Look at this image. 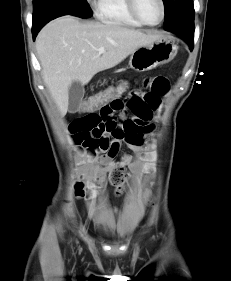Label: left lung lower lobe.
<instances>
[{
	"mask_svg": "<svg viewBox=\"0 0 231 281\" xmlns=\"http://www.w3.org/2000/svg\"><path fill=\"white\" fill-rule=\"evenodd\" d=\"M168 31H172L181 35L184 40L189 44L190 49H193L194 18L183 19L171 26Z\"/></svg>",
	"mask_w": 231,
	"mask_h": 281,
	"instance_id": "1",
	"label": "left lung lower lobe"
}]
</instances>
